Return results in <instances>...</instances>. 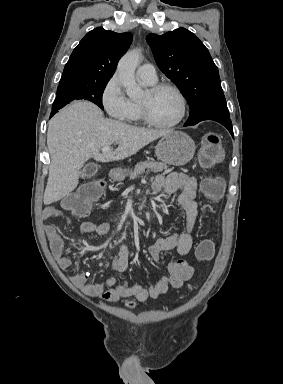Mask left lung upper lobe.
Here are the masks:
<instances>
[{
  "mask_svg": "<svg viewBox=\"0 0 283 384\" xmlns=\"http://www.w3.org/2000/svg\"><path fill=\"white\" fill-rule=\"evenodd\" d=\"M160 70L180 89L190 105L185 125L230 118L217 66L199 38L185 28L149 34Z\"/></svg>",
  "mask_w": 283,
  "mask_h": 384,
  "instance_id": "1",
  "label": "left lung upper lobe"
}]
</instances>
